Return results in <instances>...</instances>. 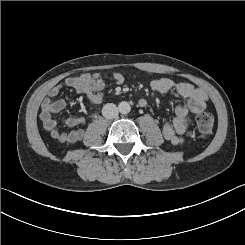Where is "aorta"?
Wrapping results in <instances>:
<instances>
[{"mask_svg":"<svg viewBox=\"0 0 245 245\" xmlns=\"http://www.w3.org/2000/svg\"><path fill=\"white\" fill-rule=\"evenodd\" d=\"M118 110H119V112L122 113V114H127V113L130 112L131 106H130V104H129L128 102L122 101V102H120L119 105H118Z\"/></svg>","mask_w":245,"mask_h":245,"instance_id":"aorta-1","label":"aorta"}]
</instances>
